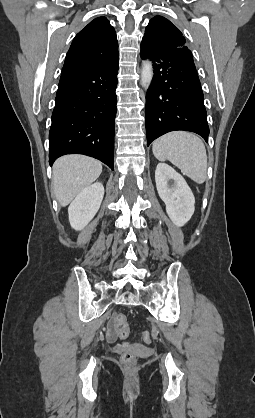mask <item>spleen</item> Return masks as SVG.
I'll use <instances>...</instances> for the list:
<instances>
[{
  "mask_svg": "<svg viewBox=\"0 0 255 418\" xmlns=\"http://www.w3.org/2000/svg\"><path fill=\"white\" fill-rule=\"evenodd\" d=\"M152 151L160 160H169L183 175L198 184L207 179V154L202 140L184 131L167 133L153 142Z\"/></svg>",
  "mask_w": 255,
  "mask_h": 418,
  "instance_id": "obj_1",
  "label": "spleen"
}]
</instances>
